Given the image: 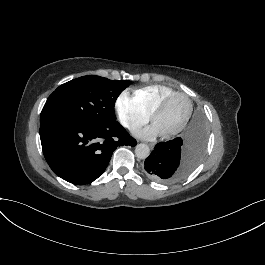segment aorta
<instances>
[{
	"mask_svg": "<svg viewBox=\"0 0 265 265\" xmlns=\"http://www.w3.org/2000/svg\"><path fill=\"white\" fill-rule=\"evenodd\" d=\"M150 154V149L146 144H138L135 148V155L139 159H146Z\"/></svg>",
	"mask_w": 265,
	"mask_h": 265,
	"instance_id": "obj_1",
	"label": "aorta"
}]
</instances>
